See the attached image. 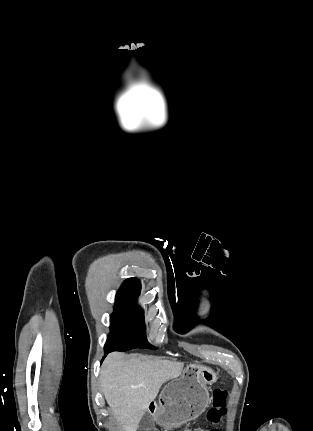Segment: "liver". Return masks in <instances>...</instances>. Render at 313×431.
<instances>
[{
  "mask_svg": "<svg viewBox=\"0 0 313 431\" xmlns=\"http://www.w3.org/2000/svg\"><path fill=\"white\" fill-rule=\"evenodd\" d=\"M184 363L138 354H109L101 370V387L123 431H137L148 406L165 382L182 374Z\"/></svg>",
  "mask_w": 313,
  "mask_h": 431,
  "instance_id": "obj_1",
  "label": "liver"
}]
</instances>
